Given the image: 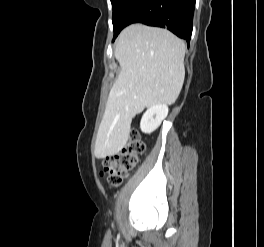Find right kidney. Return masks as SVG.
Masks as SVG:
<instances>
[{
    "mask_svg": "<svg viewBox=\"0 0 264 247\" xmlns=\"http://www.w3.org/2000/svg\"><path fill=\"white\" fill-rule=\"evenodd\" d=\"M168 115V107L165 104L153 105L143 114L140 128L143 133L150 134L155 131Z\"/></svg>",
    "mask_w": 264,
    "mask_h": 247,
    "instance_id": "right-kidney-1",
    "label": "right kidney"
}]
</instances>
